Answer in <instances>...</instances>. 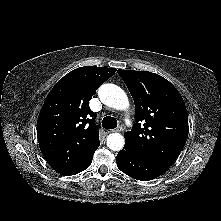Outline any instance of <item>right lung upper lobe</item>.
Here are the masks:
<instances>
[{
  "label": "right lung upper lobe",
  "instance_id": "1",
  "mask_svg": "<svg viewBox=\"0 0 221 221\" xmlns=\"http://www.w3.org/2000/svg\"><path fill=\"white\" fill-rule=\"evenodd\" d=\"M116 69L85 66L60 79L47 96L37 121L40 150L58 173L76 167L99 145L89 101Z\"/></svg>",
  "mask_w": 221,
  "mask_h": 221
}]
</instances>
